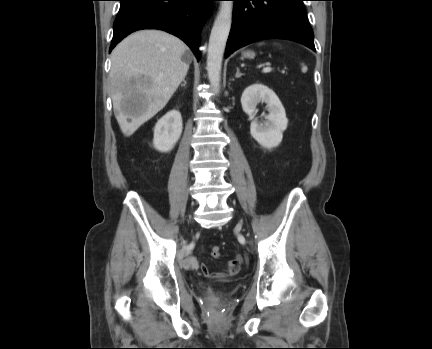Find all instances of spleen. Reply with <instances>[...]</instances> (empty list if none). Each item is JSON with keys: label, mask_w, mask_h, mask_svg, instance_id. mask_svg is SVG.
Wrapping results in <instances>:
<instances>
[{"label": "spleen", "mask_w": 432, "mask_h": 349, "mask_svg": "<svg viewBox=\"0 0 432 349\" xmlns=\"http://www.w3.org/2000/svg\"><path fill=\"white\" fill-rule=\"evenodd\" d=\"M307 71V67L305 65H302V72H306Z\"/></svg>", "instance_id": "1"}]
</instances>
